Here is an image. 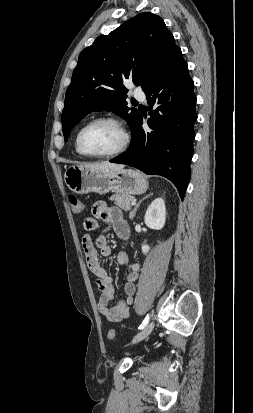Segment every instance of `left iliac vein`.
Listing matches in <instances>:
<instances>
[{
    "mask_svg": "<svg viewBox=\"0 0 253 413\" xmlns=\"http://www.w3.org/2000/svg\"><path fill=\"white\" fill-rule=\"evenodd\" d=\"M154 329V322H149L132 340V343L145 339Z\"/></svg>",
    "mask_w": 253,
    "mask_h": 413,
    "instance_id": "left-iliac-vein-1",
    "label": "left iliac vein"
}]
</instances>
